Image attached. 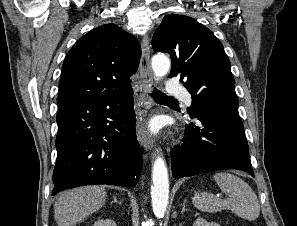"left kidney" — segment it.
I'll return each mask as SVG.
<instances>
[{"label": "left kidney", "instance_id": "obj_1", "mask_svg": "<svg viewBox=\"0 0 297 226\" xmlns=\"http://www.w3.org/2000/svg\"><path fill=\"white\" fill-rule=\"evenodd\" d=\"M193 226H220L218 223L215 222H208L203 218H198L194 222Z\"/></svg>", "mask_w": 297, "mask_h": 226}]
</instances>
